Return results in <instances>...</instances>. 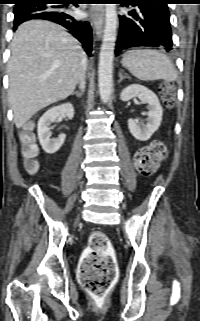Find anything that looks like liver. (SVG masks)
Returning <instances> with one entry per match:
<instances>
[{
	"mask_svg": "<svg viewBox=\"0 0 200 321\" xmlns=\"http://www.w3.org/2000/svg\"><path fill=\"white\" fill-rule=\"evenodd\" d=\"M83 54L78 41L59 25L32 20L18 27L7 65L8 100L17 128L73 93Z\"/></svg>",
	"mask_w": 200,
	"mask_h": 321,
	"instance_id": "liver-1",
	"label": "liver"
}]
</instances>
